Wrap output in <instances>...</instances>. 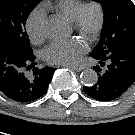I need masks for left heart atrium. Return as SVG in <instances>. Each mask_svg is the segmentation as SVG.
<instances>
[{"label": "left heart atrium", "instance_id": "39dd6f15", "mask_svg": "<svg viewBox=\"0 0 135 135\" xmlns=\"http://www.w3.org/2000/svg\"><path fill=\"white\" fill-rule=\"evenodd\" d=\"M87 52V45L80 39L60 40L51 43L44 51V58L50 64L75 65Z\"/></svg>", "mask_w": 135, "mask_h": 135}]
</instances>
